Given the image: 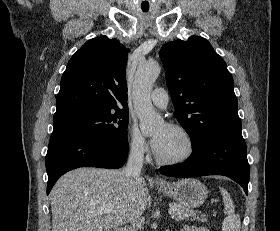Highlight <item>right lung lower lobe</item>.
Wrapping results in <instances>:
<instances>
[{"instance_id":"98d812e1","label":"right lung lower lobe","mask_w":280,"mask_h":231,"mask_svg":"<svg viewBox=\"0 0 280 231\" xmlns=\"http://www.w3.org/2000/svg\"><path fill=\"white\" fill-rule=\"evenodd\" d=\"M128 140H100L79 133H52L46 155L47 195L66 172L79 167L120 168Z\"/></svg>"}]
</instances>
